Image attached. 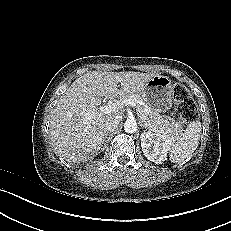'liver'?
Returning <instances> with one entry per match:
<instances>
[{
  "instance_id": "liver-1",
  "label": "liver",
  "mask_w": 231,
  "mask_h": 231,
  "mask_svg": "<svg viewBox=\"0 0 231 231\" xmlns=\"http://www.w3.org/2000/svg\"><path fill=\"white\" fill-rule=\"evenodd\" d=\"M156 75L134 71H90L76 79L52 111L50 139L55 153L73 163L85 162L97 154L107 134L106 120L120 118L117 113L100 112L98 98L139 93Z\"/></svg>"
}]
</instances>
